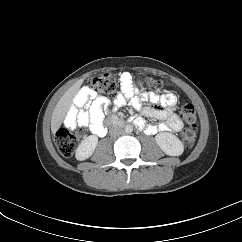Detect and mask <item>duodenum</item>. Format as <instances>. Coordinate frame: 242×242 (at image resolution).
<instances>
[{
    "label": "duodenum",
    "instance_id": "duodenum-1",
    "mask_svg": "<svg viewBox=\"0 0 242 242\" xmlns=\"http://www.w3.org/2000/svg\"><path fill=\"white\" fill-rule=\"evenodd\" d=\"M124 124H125V122L118 117H112V118L109 119V122H108L109 126H115V127L116 126H122ZM103 133L104 134L106 133V128H105V131Z\"/></svg>",
    "mask_w": 242,
    "mask_h": 242
}]
</instances>
